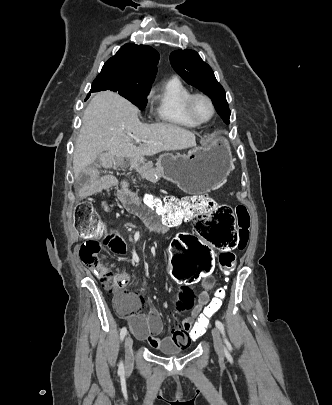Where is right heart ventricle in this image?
Here are the masks:
<instances>
[{"label":"right heart ventricle","instance_id":"obj_1","mask_svg":"<svg viewBox=\"0 0 332 405\" xmlns=\"http://www.w3.org/2000/svg\"><path fill=\"white\" fill-rule=\"evenodd\" d=\"M189 94V89L176 78L164 82L152 93V113L155 119L162 123L187 128L199 126L184 112V100Z\"/></svg>","mask_w":332,"mask_h":405}]
</instances>
